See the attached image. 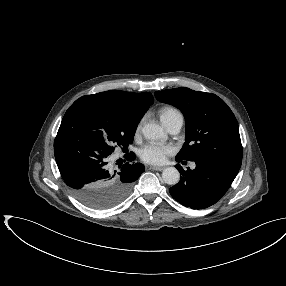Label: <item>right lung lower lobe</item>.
Listing matches in <instances>:
<instances>
[{
  "label": "right lung lower lobe",
  "instance_id": "1",
  "mask_svg": "<svg viewBox=\"0 0 286 286\" xmlns=\"http://www.w3.org/2000/svg\"><path fill=\"white\" fill-rule=\"evenodd\" d=\"M54 154L60 174L73 195L94 209H108L123 201L145 170L142 164L129 162L112 169L110 155L64 123L55 138ZM126 158L133 161L135 154L131 152Z\"/></svg>",
  "mask_w": 286,
  "mask_h": 286
}]
</instances>
